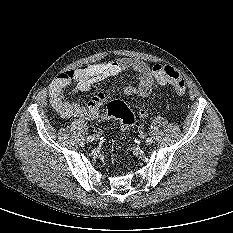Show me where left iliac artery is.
I'll use <instances>...</instances> for the list:
<instances>
[{"label": "left iliac artery", "mask_w": 233, "mask_h": 233, "mask_svg": "<svg viewBox=\"0 0 233 233\" xmlns=\"http://www.w3.org/2000/svg\"><path fill=\"white\" fill-rule=\"evenodd\" d=\"M146 142H147L148 144H151V143L153 142V140H152V138L148 137V138L146 139Z\"/></svg>", "instance_id": "1"}]
</instances>
